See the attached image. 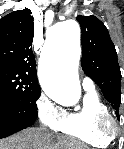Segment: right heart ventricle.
<instances>
[{
	"instance_id": "right-heart-ventricle-1",
	"label": "right heart ventricle",
	"mask_w": 124,
	"mask_h": 149,
	"mask_svg": "<svg viewBox=\"0 0 124 149\" xmlns=\"http://www.w3.org/2000/svg\"><path fill=\"white\" fill-rule=\"evenodd\" d=\"M109 113L107 106L93 90H86L79 108L65 112L55 131L94 148L107 147L111 139L103 136L97 128V119Z\"/></svg>"
}]
</instances>
